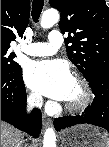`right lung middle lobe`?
Wrapping results in <instances>:
<instances>
[{"label":"right lung middle lobe","instance_id":"right-lung-middle-lobe-1","mask_svg":"<svg viewBox=\"0 0 109 147\" xmlns=\"http://www.w3.org/2000/svg\"><path fill=\"white\" fill-rule=\"evenodd\" d=\"M7 51L8 49L1 48V71L5 73L16 72L21 67L13 61L14 55Z\"/></svg>","mask_w":109,"mask_h":147}]
</instances>
